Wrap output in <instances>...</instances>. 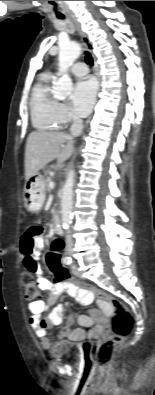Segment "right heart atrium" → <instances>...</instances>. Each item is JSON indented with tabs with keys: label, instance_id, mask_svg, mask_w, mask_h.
Segmentation results:
<instances>
[{
	"label": "right heart atrium",
	"instance_id": "right-heart-atrium-1",
	"mask_svg": "<svg viewBox=\"0 0 155 395\" xmlns=\"http://www.w3.org/2000/svg\"><path fill=\"white\" fill-rule=\"evenodd\" d=\"M58 117L62 125L67 124L75 119L71 109L63 103H59L58 106Z\"/></svg>",
	"mask_w": 155,
	"mask_h": 395
}]
</instances>
